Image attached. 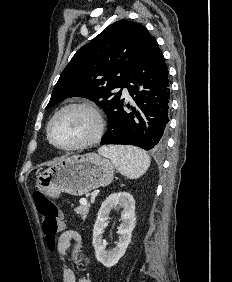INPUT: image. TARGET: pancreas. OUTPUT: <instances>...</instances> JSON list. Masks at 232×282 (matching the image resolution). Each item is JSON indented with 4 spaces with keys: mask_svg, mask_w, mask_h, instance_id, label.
Here are the masks:
<instances>
[{
    "mask_svg": "<svg viewBox=\"0 0 232 282\" xmlns=\"http://www.w3.org/2000/svg\"><path fill=\"white\" fill-rule=\"evenodd\" d=\"M89 208H90L89 205H80L75 209V212L79 214L83 220H85L89 212Z\"/></svg>",
    "mask_w": 232,
    "mask_h": 282,
    "instance_id": "pancreas-1",
    "label": "pancreas"
}]
</instances>
